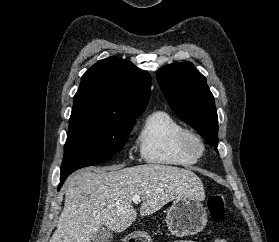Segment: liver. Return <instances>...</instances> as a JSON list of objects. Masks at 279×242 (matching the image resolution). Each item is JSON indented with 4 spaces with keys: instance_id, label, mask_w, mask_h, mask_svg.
Masks as SVG:
<instances>
[{
    "instance_id": "obj_1",
    "label": "liver",
    "mask_w": 279,
    "mask_h": 242,
    "mask_svg": "<svg viewBox=\"0 0 279 242\" xmlns=\"http://www.w3.org/2000/svg\"><path fill=\"white\" fill-rule=\"evenodd\" d=\"M140 196V215L155 213L182 197L204 200L199 177L190 170L157 164L84 169L65 182V204L49 242H91L105 226L125 231L137 218L132 198Z\"/></svg>"
}]
</instances>
